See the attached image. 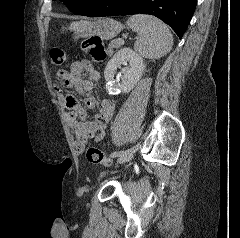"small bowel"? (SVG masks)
Segmentation results:
<instances>
[{
  "label": "small bowel",
  "instance_id": "obj_1",
  "mask_svg": "<svg viewBox=\"0 0 240 238\" xmlns=\"http://www.w3.org/2000/svg\"><path fill=\"white\" fill-rule=\"evenodd\" d=\"M84 71L88 73L86 79L82 77ZM100 79L99 71L88 60L74 62L69 71L59 70L55 75L54 89L59 95L61 106L66 110L67 123L72 130L74 148L78 153L83 152L89 139L100 141L105 137L107 126L115 113V104L110 99H102L93 120L89 121L87 112L77 98L73 94L64 93V90L75 88L85 94L84 104L92 109L96 107L97 101L89 92Z\"/></svg>",
  "mask_w": 240,
  "mask_h": 238
}]
</instances>
